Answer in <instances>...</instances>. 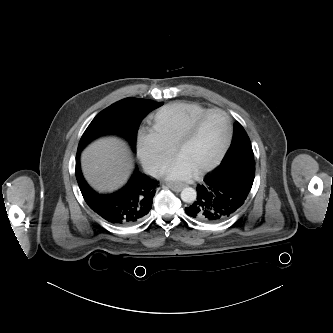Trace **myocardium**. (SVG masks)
<instances>
[{"instance_id": "f54148a6", "label": "myocardium", "mask_w": 333, "mask_h": 333, "mask_svg": "<svg viewBox=\"0 0 333 333\" xmlns=\"http://www.w3.org/2000/svg\"><path fill=\"white\" fill-rule=\"evenodd\" d=\"M212 113H220L222 114L226 121H227V125H228V131H227V135L226 138L224 140V143L220 149V151L218 152L217 156L207 165L195 170V174L197 175H201L204 174L210 170H212L213 168H215L223 159V157L225 156L232 138H233V122L232 119L230 117V115L220 109V108H210L207 111H205L203 114L199 115L197 118H195L192 122L189 123V125L184 129V131L180 134V136L176 139L175 143L173 144V152L177 155L178 150L194 135L197 127L200 125V123L210 114Z\"/></svg>"}]
</instances>
